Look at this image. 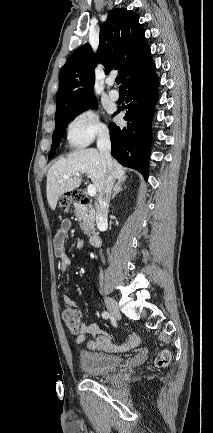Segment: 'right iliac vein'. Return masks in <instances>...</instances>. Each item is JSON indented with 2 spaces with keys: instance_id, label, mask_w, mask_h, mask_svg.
Returning a JSON list of instances; mask_svg holds the SVG:
<instances>
[{
  "instance_id": "63e3f726",
  "label": "right iliac vein",
  "mask_w": 213,
  "mask_h": 433,
  "mask_svg": "<svg viewBox=\"0 0 213 433\" xmlns=\"http://www.w3.org/2000/svg\"><path fill=\"white\" fill-rule=\"evenodd\" d=\"M105 304L107 306V309L111 313V315L113 317L119 319L121 315H120V310H119L117 302L111 297H106L105 298Z\"/></svg>"
}]
</instances>
